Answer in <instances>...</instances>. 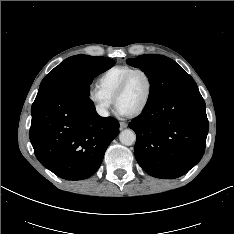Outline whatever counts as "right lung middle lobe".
Instances as JSON below:
<instances>
[{"mask_svg":"<svg viewBox=\"0 0 234 234\" xmlns=\"http://www.w3.org/2000/svg\"><path fill=\"white\" fill-rule=\"evenodd\" d=\"M115 62L102 56L75 55L67 58L49 74L40 84V88L68 81L80 93L88 97L89 86L99 74L110 69Z\"/></svg>","mask_w":234,"mask_h":234,"instance_id":"obj_1","label":"right lung middle lobe"}]
</instances>
